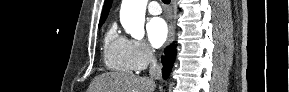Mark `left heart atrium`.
Wrapping results in <instances>:
<instances>
[{
    "label": "left heart atrium",
    "instance_id": "1",
    "mask_svg": "<svg viewBox=\"0 0 289 92\" xmlns=\"http://www.w3.org/2000/svg\"><path fill=\"white\" fill-rule=\"evenodd\" d=\"M147 35L154 48L161 47L168 38L169 28L164 19L152 18L147 24Z\"/></svg>",
    "mask_w": 289,
    "mask_h": 92
}]
</instances>
